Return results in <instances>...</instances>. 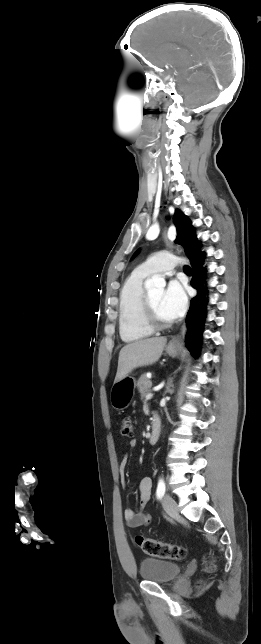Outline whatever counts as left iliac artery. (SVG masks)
<instances>
[{
    "label": "left iliac artery",
    "mask_w": 261,
    "mask_h": 644,
    "mask_svg": "<svg viewBox=\"0 0 261 644\" xmlns=\"http://www.w3.org/2000/svg\"><path fill=\"white\" fill-rule=\"evenodd\" d=\"M165 490H166L165 482L162 478H160L158 481L157 490H156V496L158 499L163 497V495L165 494Z\"/></svg>",
    "instance_id": "1"
}]
</instances>
